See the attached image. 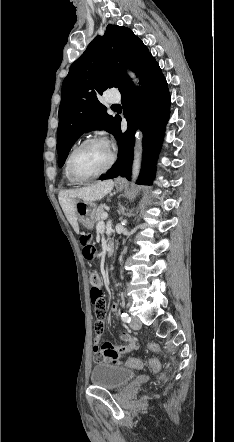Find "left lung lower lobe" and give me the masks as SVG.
<instances>
[{
    "label": "left lung lower lobe",
    "mask_w": 234,
    "mask_h": 442,
    "mask_svg": "<svg viewBox=\"0 0 234 442\" xmlns=\"http://www.w3.org/2000/svg\"><path fill=\"white\" fill-rule=\"evenodd\" d=\"M141 87L132 83L121 91V102L124 117L128 122L127 130L120 129L121 118H118L116 140L119 146L118 159L107 174L99 179H111L117 176L130 180L133 160L134 134L137 127L143 131V167L138 184H152L155 175V164L162 144L165 126L169 119L170 94L162 71L152 55L146 60L140 74Z\"/></svg>",
    "instance_id": "left-lung-lower-lobe-1"
}]
</instances>
